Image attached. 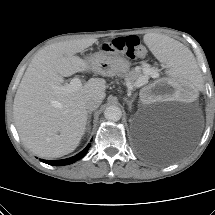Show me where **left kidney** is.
I'll return each instance as SVG.
<instances>
[{"mask_svg": "<svg viewBox=\"0 0 215 215\" xmlns=\"http://www.w3.org/2000/svg\"><path fill=\"white\" fill-rule=\"evenodd\" d=\"M159 82V84H150L142 92V99L146 103H153L171 97L184 102H192L198 96L193 84L181 81L176 77L163 75Z\"/></svg>", "mask_w": 215, "mask_h": 215, "instance_id": "left-kidney-1", "label": "left kidney"}]
</instances>
